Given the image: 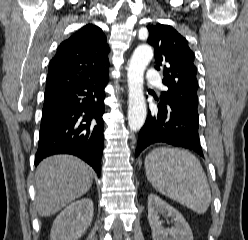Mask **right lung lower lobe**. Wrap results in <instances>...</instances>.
I'll list each match as a JSON object with an SVG mask.
<instances>
[{"mask_svg": "<svg viewBox=\"0 0 248 240\" xmlns=\"http://www.w3.org/2000/svg\"><path fill=\"white\" fill-rule=\"evenodd\" d=\"M108 76L45 94L35 165L53 154H73L100 175Z\"/></svg>", "mask_w": 248, "mask_h": 240, "instance_id": "obj_1", "label": "right lung lower lobe"}]
</instances>
